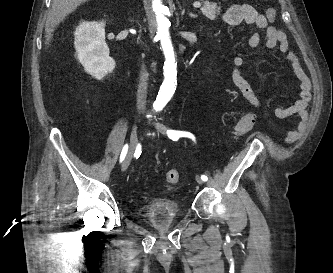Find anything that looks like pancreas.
<instances>
[{"label": "pancreas", "mask_w": 333, "mask_h": 273, "mask_svg": "<svg viewBox=\"0 0 333 273\" xmlns=\"http://www.w3.org/2000/svg\"><path fill=\"white\" fill-rule=\"evenodd\" d=\"M203 7L201 11L210 20H215L217 15H219L221 7H218L216 4L210 3L209 1L203 2Z\"/></svg>", "instance_id": "pancreas-1"}]
</instances>
